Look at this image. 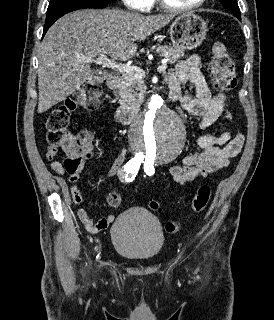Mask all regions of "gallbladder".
Returning <instances> with one entry per match:
<instances>
[{"mask_svg":"<svg viewBox=\"0 0 274 320\" xmlns=\"http://www.w3.org/2000/svg\"><path fill=\"white\" fill-rule=\"evenodd\" d=\"M104 79H108V72H89L88 85H99Z\"/></svg>","mask_w":274,"mask_h":320,"instance_id":"gallbladder-1","label":"gallbladder"}]
</instances>
